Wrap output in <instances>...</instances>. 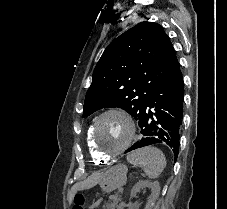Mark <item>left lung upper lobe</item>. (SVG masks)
Listing matches in <instances>:
<instances>
[{"instance_id": "obj_1", "label": "left lung upper lobe", "mask_w": 227, "mask_h": 209, "mask_svg": "<svg viewBox=\"0 0 227 209\" xmlns=\"http://www.w3.org/2000/svg\"><path fill=\"white\" fill-rule=\"evenodd\" d=\"M178 64L170 38L153 22H141L114 39L93 72L83 117L120 107L138 120L145 104Z\"/></svg>"}]
</instances>
